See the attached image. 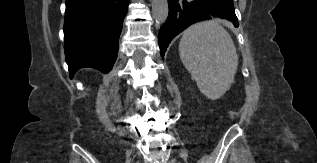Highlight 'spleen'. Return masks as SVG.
<instances>
[{
    "label": "spleen",
    "mask_w": 317,
    "mask_h": 163,
    "mask_svg": "<svg viewBox=\"0 0 317 163\" xmlns=\"http://www.w3.org/2000/svg\"><path fill=\"white\" fill-rule=\"evenodd\" d=\"M179 55L207 98L219 99L233 83L238 66L236 48L229 33L215 21L200 22L185 30Z\"/></svg>",
    "instance_id": "spleen-1"
}]
</instances>
